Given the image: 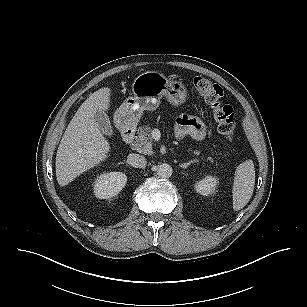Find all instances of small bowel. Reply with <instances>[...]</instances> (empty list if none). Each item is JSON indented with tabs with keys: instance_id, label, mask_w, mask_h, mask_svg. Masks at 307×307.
<instances>
[{
	"instance_id": "small-bowel-1",
	"label": "small bowel",
	"mask_w": 307,
	"mask_h": 307,
	"mask_svg": "<svg viewBox=\"0 0 307 307\" xmlns=\"http://www.w3.org/2000/svg\"><path fill=\"white\" fill-rule=\"evenodd\" d=\"M175 133L178 138L190 136L196 140H202L206 135L204 124L200 120L189 116L178 118Z\"/></svg>"
}]
</instances>
